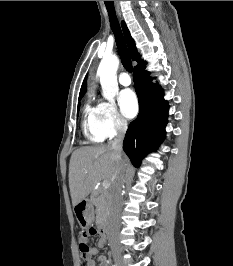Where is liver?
Here are the masks:
<instances>
[{
	"mask_svg": "<svg viewBox=\"0 0 233 266\" xmlns=\"http://www.w3.org/2000/svg\"><path fill=\"white\" fill-rule=\"evenodd\" d=\"M129 165L128 158L110 145L82 147L74 151L69 164V188L73 206L83 201L101 180L114 181Z\"/></svg>",
	"mask_w": 233,
	"mask_h": 266,
	"instance_id": "1",
	"label": "liver"
}]
</instances>
